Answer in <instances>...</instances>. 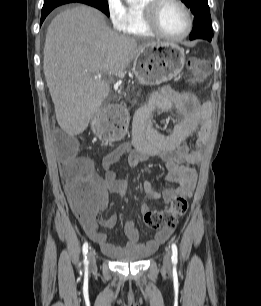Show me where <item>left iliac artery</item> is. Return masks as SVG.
<instances>
[{
  "instance_id": "obj_1",
  "label": "left iliac artery",
  "mask_w": 261,
  "mask_h": 306,
  "mask_svg": "<svg viewBox=\"0 0 261 306\" xmlns=\"http://www.w3.org/2000/svg\"><path fill=\"white\" fill-rule=\"evenodd\" d=\"M171 248H172V262L174 264L177 263L178 259H177V256H178V249H177V246L175 243H172L171 245Z\"/></svg>"
}]
</instances>
